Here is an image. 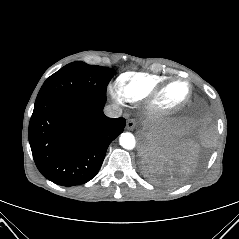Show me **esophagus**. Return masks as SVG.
Returning <instances> with one entry per match:
<instances>
[{"mask_svg":"<svg viewBox=\"0 0 239 239\" xmlns=\"http://www.w3.org/2000/svg\"><path fill=\"white\" fill-rule=\"evenodd\" d=\"M136 126V120L135 119H129L127 121L126 127L128 130H132Z\"/></svg>","mask_w":239,"mask_h":239,"instance_id":"1","label":"esophagus"}]
</instances>
